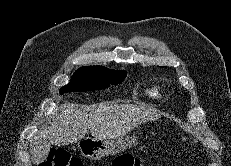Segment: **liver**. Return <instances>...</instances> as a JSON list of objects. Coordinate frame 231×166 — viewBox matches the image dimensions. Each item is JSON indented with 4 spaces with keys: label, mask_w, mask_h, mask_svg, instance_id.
I'll list each match as a JSON object with an SVG mask.
<instances>
[{
    "label": "liver",
    "mask_w": 231,
    "mask_h": 166,
    "mask_svg": "<svg viewBox=\"0 0 231 166\" xmlns=\"http://www.w3.org/2000/svg\"><path fill=\"white\" fill-rule=\"evenodd\" d=\"M159 118V111L144 104L101 103L80 106L66 103L50 126L34 137L30 144L31 159L35 165H39L46 160L51 145L77 142L85 137L88 130L96 140H116L143 122Z\"/></svg>",
    "instance_id": "1"
}]
</instances>
